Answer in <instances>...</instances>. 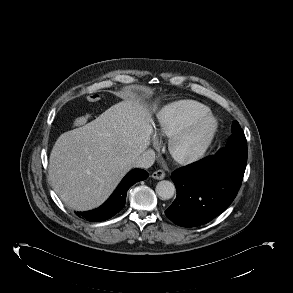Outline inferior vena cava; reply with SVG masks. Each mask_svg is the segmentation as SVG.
<instances>
[{
    "label": "inferior vena cava",
    "mask_w": 293,
    "mask_h": 293,
    "mask_svg": "<svg viewBox=\"0 0 293 293\" xmlns=\"http://www.w3.org/2000/svg\"><path fill=\"white\" fill-rule=\"evenodd\" d=\"M155 162V152L152 149H148L141 154L134 162V167L137 168H149Z\"/></svg>",
    "instance_id": "602c4592"
}]
</instances>
